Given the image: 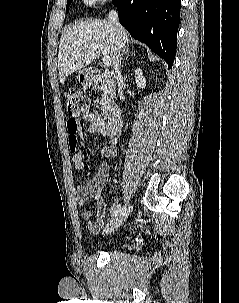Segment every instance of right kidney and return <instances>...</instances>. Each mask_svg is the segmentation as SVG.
I'll list each match as a JSON object with an SVG mask.
<instances>
[{
  "label": "right kidney",
  "instance_id": "right-kidney-1",
  "mask_svg": "<svg viewBox=\"0 0 239 303\" xmlns=\"http://www.w3.org/2000/svg\"><path fill=\"white\" fill-rule=\"evenodd\" d=\"M135 81L139 88H145L146 86V79L143 76L142 70L140 68L135 70Z\"/></svg>",
  "mask_w": 239,
  "mask_h": 303
}]
</instances>
